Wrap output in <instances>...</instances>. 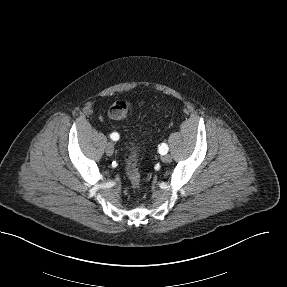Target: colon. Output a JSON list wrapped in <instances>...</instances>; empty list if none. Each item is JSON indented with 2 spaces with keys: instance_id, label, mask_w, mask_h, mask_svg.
Masks as SVG:
<instances>
[{
  "instance_id": "1",
  "label": "colon",
  "mask_w": 287,
  "mask_h": 287,
  "mask_svg": "<svg viewBox=\"0 0 287 287\" xmlns=\"http://www.w3.org/2000/svg\"><path fill=\"white\" fill-rule=\"evenodd\" d=\"M129 111L130 103L126 100L120 99L111 105L109 109V116L115 120H122L128 116ZM138 161L139 158L137 150L135 146H131L125 157V170L127 177L134 188H140L141 186V176Z\"/></svg>"
}]
</instances>
